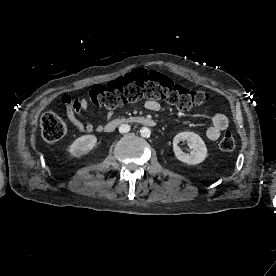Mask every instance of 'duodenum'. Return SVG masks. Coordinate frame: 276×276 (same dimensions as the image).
<instances>
[{"label":"duodenum","instance_id":"obj_1","mask_svg":"<svg viewBox=\"0 0 276 276\" xmlns=\"http://www.w3.org/2000/svg\"><path fill=\"white\" fill-rule=\"evenodd\" d=\"M122 124H136V125H143L148 127H153L156 125L153 119L143 117V116H127L121 118H115L109 121L104 126V131L107 133L113 132L118 126Z\"/></svg>","mask_w":276,"mask_h":276}]
</instances>
